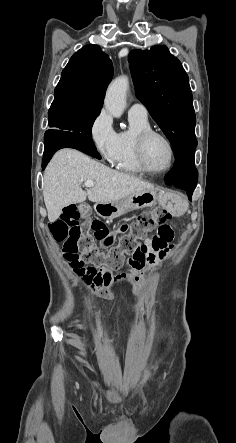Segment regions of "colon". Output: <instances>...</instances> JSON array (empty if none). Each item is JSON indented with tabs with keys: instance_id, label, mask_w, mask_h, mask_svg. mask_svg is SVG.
<instances>
[{
	"instance_id": "1",
	"label": "colon",
	"mask_w": 236,
	"mask_h": 443,
	"mask_svg": "<svg viewBox=\"0 0 236 443\" xmlns=\"http://www.w3.org/2000/svg\"><path fill=\"white\" fill-rule=\"evenodd\" d=\"M86 213L85 206L71 205L59 219L51 223L50 231L54 240L63 245V257L73 268L90 267L86 264L103 267L104 271L97 276L102 283L112 279V271L122 266L127 253L133 252V256L124 277L130 279L135 271L145 267L144 261L149 257V251L146 247L137 246V242L153 229L158 228V233L167 241L173 238V230L167 224L171 215L161 207L145 211L132 222L120 224L112 230L98 220H86L80 224V219ZM117 236L118 245L106 251L94 244V240L110 244Z\"/></svg>"
}]
</instances>
